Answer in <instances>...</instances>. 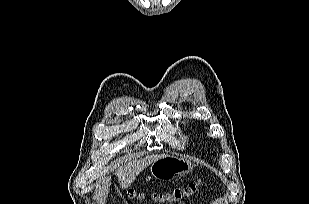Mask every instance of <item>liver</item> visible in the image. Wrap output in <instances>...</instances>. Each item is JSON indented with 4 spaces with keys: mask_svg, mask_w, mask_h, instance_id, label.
Masks as SVG:
<instances>
[{
    "mask_svg": "<svg viewBox=\"0 0 309 204\" xmlns=\"http://www.w3.org/2000/svg\"><path fill=\"white\" fill-rule=\"evenodd\" d=\"M161 156H150L143 159V161L137 162H130L124 168L120 169L117 173L118 181L120 187L127 188L129 187L133 181L135 180L136 176L149 164L153 163L157 159L163 157Z\"/></svg>",
    "mask_w": 309,
    "mask_h": 204,
    "instance_id": "obj_1",
    "label": "liver"
}]
</instances>
